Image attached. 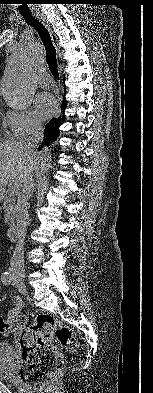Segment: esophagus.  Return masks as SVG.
Here are the masks:
<instances>
[{"mask_svg":"<svg viewBox=\"0 0 153 393\" xmlns=\"http://www.w3.org/2000/svg\"><path fill=\"white\" fill-rule=\"evenodd\" d=\"M40 21L44 24V26H45V27L47 28V30L49 31L50 36H51V39H52L54 45H57V37H56L55 34L53 33L51 26H50L47 22H45L44 19H41Z\"/></svg>","mask_w":153,"mask_h":393,"instance_id":"34e87169","label":"esophagus"}]
</instances>
